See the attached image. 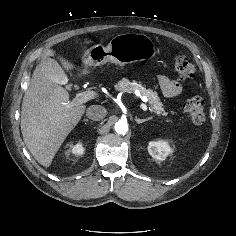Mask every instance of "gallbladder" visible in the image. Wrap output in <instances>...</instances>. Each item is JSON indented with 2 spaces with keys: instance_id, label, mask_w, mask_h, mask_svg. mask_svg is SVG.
Here are the masks:
<instances>
[{
  "instance_id": "obj_1",
  "label": "gallbladder",
  "mask_w": 236,
  "mask_h": 236,
  "mask_svg": "<svg viewBox=\"0 0 236 236\" xmlns=\"http://www.w3.org/2000/svg\"><path fill=\"white\" fill-rule=\"evenodd\" d=\"M46 62L48 63L47 71H46L48 77L53 82L64 83L66 74L61 68V66L58 64V62L51 58L47 59Z\"/></svg>"
}]
</instances>
